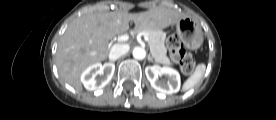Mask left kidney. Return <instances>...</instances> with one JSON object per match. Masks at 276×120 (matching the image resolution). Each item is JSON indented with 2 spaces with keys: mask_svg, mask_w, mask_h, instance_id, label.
<instances>
[{
  "mask_svg": "<svg viewBox=\"0 0 276 120\" xmlns=\"http://www.w3.org/2000/svg\"><path fill=\"white\" fill-rule=\"evenodd\" d=\"M145 74L151 86L161 93H176L180 88V75L173 68L161 67L159 65L147 66L145 68ZM158 75H165L167 81H160Z\"/></svg>",
  "mask_w": 276,
  "mask_h": 120,
  "instance_id": "obj_1",
  "label": "left kidney"
}]
</instances>
